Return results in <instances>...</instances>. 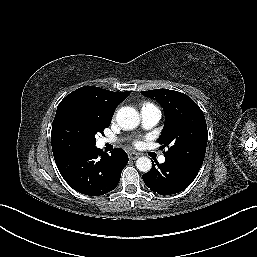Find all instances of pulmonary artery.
Wrapping results in <instances>:
<instances>
[{
    "label": "pulmonary artery",
    "mask_w": 257,
    "mask_h": 257,
    "mask_svg": "<svg viewBox=\"0 0 257 257\" xmlns=\"http://www.w3.org/2000/svg\"><path fill=\"white\" fill-rule=\"evenodd\" d=\"M140 116H141V123L142 126L145 129H150L154 126H156L158 124V122L161 119V111L156 108V107H147V108H143L140 112ZM111 142V140L104 138L102 140V143H109ZM158 161L160 163H164L165 162V156L161 155L158 158Z\"/></svg>",
    "instance_id": "pulmonary-artery-1"
}]
</instances>
